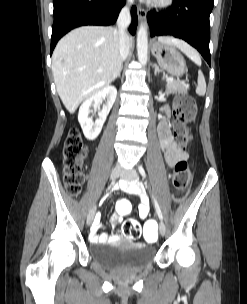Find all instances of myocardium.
Instances as JSON below:
<instances>
[{
    "instance_id": "f54148a6",
    "label": "myocardium",
    "mask_w": 247,
    "mask_h": 304,
    "mask_svg": "<svg viewBox=\"0 0 247 304\" xmlns=\"http://www.w3.org/2000/svg\"><path fill=\"white\" fill-rule=\"evenodd\" d=\"M172 4H173V0H154L152 5L156 9L165 10L170 8Z\"/></svg>"
}]
</instances>
